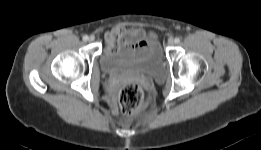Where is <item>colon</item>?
I'll list each match as a JSON object with an SVG mask.
<instances>
[{"mask_svg":"<svg viewBox=\"0 0 261 150\" xmlns=\"http://www.w3.org/2000/svg\"><path fill=\"white\" fill-rule=\"evenodd\" d=\"M118 99L120 107L125 114H136L142 108L143 90L135 82L126 83L120 89Z\"/></svg>","mask_w":261,"mask_h":150,"instance_id":"obj_1","label":"colon"}]
</instances>
